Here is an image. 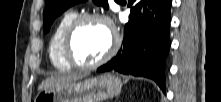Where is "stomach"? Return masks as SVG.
Listing matches in <instances>:
<instances>
[{
  "instance_id": "1",
  "label": "stomach",
  "mask_w": 221,
  "mask_h": 102,
  "mask_svg": "<svg viewBox=\"0 0 221 102\" xmlns=\"http://www.w3.org/2000/svg\"><path fill=\"white\" fill-rule=\"evenodd\" d=\"M121 79L114 74H103L83 81H73L44 89L34 102H102L120 94Z\"/></svg>"
}]
</instances>
